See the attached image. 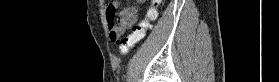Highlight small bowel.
<instances>
[{
    "label": "small bowel",
    "mask_w": 279,
    "mask_h": 82,
    "mask_svg": "<svg viewBox=\"0 0 279 82\" xmlns=\"http://www.w3.org/2000/svg\"><path fill=\"white\" fill-rule=\"evenodd\" d=\"M137 2L140 4L142 0H137ZM118 5V1L109 2L106 5V19L109 24L110 38L113 42H116L121 34L136 24L139 14V7L132 5L122 9L116 17L115 10Z\"/></svg>",
    "instance_id": "c3829d8e"
}]
</instances>
